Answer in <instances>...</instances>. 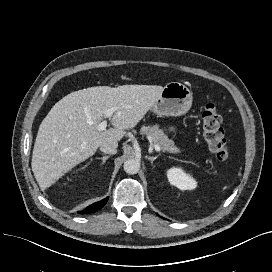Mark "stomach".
I'll return each mask as SVG.
<instances>
[{
    "instance_id": "stomach-1",
    "label": "stomach",
    "mask_w": 272,
    "mask_h": 272,
    "mask_svg": "<svg viewBox=\"0 0 272 272\" xmlns=\"http://www.w3.org/2000/svg\"><path fill=\"white\" fill-rule=\"evenodd\" d=\"M192 105V92L179 82H170L164 87L160 97L152 107L158 116L177 117L189 111ZM176 128L169 126L168 131L174 132Z\"/></svg>"
}]
</instances>
